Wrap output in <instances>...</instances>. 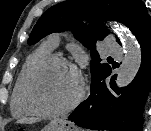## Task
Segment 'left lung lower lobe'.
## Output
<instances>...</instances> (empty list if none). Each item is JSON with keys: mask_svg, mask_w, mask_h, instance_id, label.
<instances>
[{"mask_svg": "<svg viewBox=\"0 0 151 131\" xmlns=\"http://www.w3.org/2000/svg\"><path fill=\"white\" fill-rule=\"evenodd\" d=\"M136 36L142 53V61L134 80L118 90L116 75L111 77L110 88L105 79L111 67L92 84L90 96L69 116L76 125L101 131H141L143 108L151 91V18L143 4L130 28Z\"/></svg>", "mask_w": 151, "mask_h": 131, "instance_id": "1", "label": "left lung lower lobe"}]
</instances>
